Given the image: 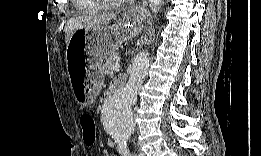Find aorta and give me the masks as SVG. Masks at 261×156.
Here are the masks:
<instances>
[{"mask_svg": "<svg viewBox=\"0 0 261 156\" xmlns=\"http://www.w3.org/2000/svg\"><path fill=\"white\" fill-rule=\"evenodd\" d=\"M161 0H151L152 12H157ZM149 67L148 52H139L132 64L129 80L119 94L109 96L102 106V125L105 132L115 141L128 140L134 132L135 122L132 107L137 101L138 91Z\"/></svg>", "mask_w": 261, "mask_h": 156, "instance_id": "1", "label": "aorta"}]
</instances>
